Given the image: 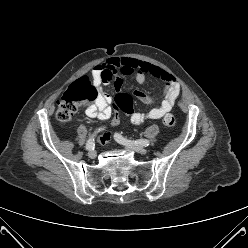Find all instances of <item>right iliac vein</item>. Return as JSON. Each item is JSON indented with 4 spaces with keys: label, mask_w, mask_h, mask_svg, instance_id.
I'll return each mask as SVG.
<instances>
[{
    "label": "right iliac vein",
    "mask_w": 248,
    "mask_h": 248,
    "mask_svg": "<svg viewBox=\"0 0 248 248\" xmlns=\"http://www.w3.org/2000/svg\"><path fill=\"white\" fill-rule=\"evenodd\" d=\"M88 156H89L91 159H94V158H96L97 153H96L95 150H91V151L88 152Z\"/></svg>",
    "instance_id": "63e3f726"
}]
</instances>
